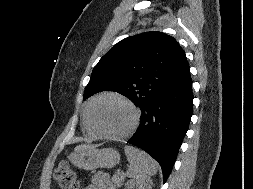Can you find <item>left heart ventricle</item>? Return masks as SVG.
I'll use <instances>...</instances> for the list:
<instances>
[{"label": "left heart ventricle", "instance_id": "b2bd125f", "mask_svg": "<svg viewBox=\"0 0 253 189\" xmlns=\"http://www.w3.org/2000/svg\"><path fill=\"white\" fill-rule=\"evenodd\" d=\"M93 118L102 131L119 134L129 128L133 120V113L122 101L116 98H105L95 105Z\"/></svg>", "mask_w": 253, "mask_h": 189}]
</instances>
